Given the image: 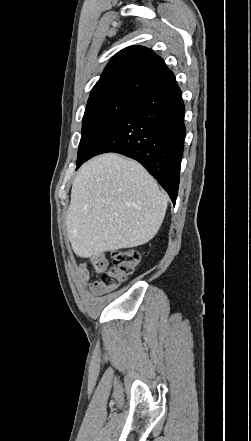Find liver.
Returning a JSON list of instances; mask_svg holds the SVG:
<instances>
[{
	"label": "liver",
	"instance_id": "6515ba94",
	"mask_svg": "<svg viewBox=\"0 0 251 441\" xmlns=\"http://www.w3.org/2000/svg\"><path fill=\"white\" fill-rule=\"evenodd\" d=\"M167 202L138 162L116 153L89 160L74 179L67 210L73 251L89 258L149 242L163 222Z\"/></svg>",
	"mask_w": 251,
	"mask_h": 441
}]
</instances>
